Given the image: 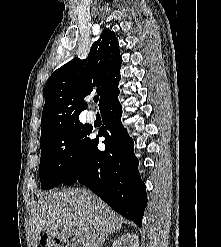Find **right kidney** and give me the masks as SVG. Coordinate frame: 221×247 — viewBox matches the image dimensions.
<instances>
[{"label": "right kidney", "instance_id": "1", "mask_svg": "<svg viewBox=\"0 0 221 247\" xmlns=\"http://www.w3.org/2000/svg\"><path fill=\"white\" fill-rule=\"evenodd\" d=\"M112 247H139V237L136 234H124L113 242Z\"/></svg>", "mask_w": 221, "mask_h": 247}]
</instances>
